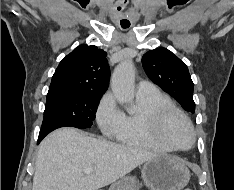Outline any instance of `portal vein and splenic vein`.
Here are the masks:
<instances>
[{
	"mask_svg": "<svg viewBox=\"0 0 234 190\" xmlns=\"http://www.w3.org/2000/svg\"><path fill=\"white\" fill-rule=\"evenodd\" d=\"M92 171H93V167H89V168L85 169L84 173L90 174Z\"/></svg>",
	"mask_w": 234,
	"mask_h": 190,
	"instance_id": "1",
	"label": "portal vein and splenic vein"
}]
</instances>
